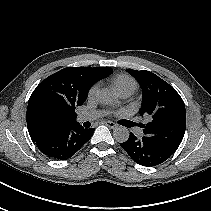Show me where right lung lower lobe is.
<instances>
[{"label":"right lung lower lobe","mask_w":211,"mask_h":211,"mask_svg":"<svg viewBox=\"0 0 211 211\" xmlns=\"http://www.w3.org/2000/svg\"><path fill=\"white\" fill-rule=\"evenodd\" d=\"M93 128L84 129L79 123L57 128L34 141L49 158L66 160L78 152L92 137Z\"/></svg>","instance_id":"right-lung-lower-lobe-1"}]
</instances>
